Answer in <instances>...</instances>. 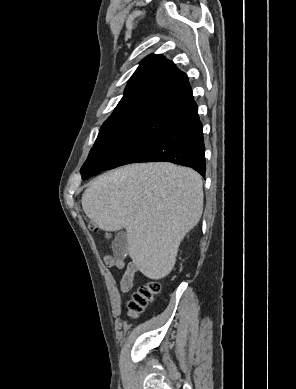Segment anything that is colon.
Returning <instances> with one entry per match:
<instances>
[{
	"mask_svg": "<svg viewBox=\"0 0 296 389\" xmlns=\"http://www.w3.org/2000/svg\"><path fill=\"white\" fill-rule=\"evenodd\" d=\"M161 286L157 281H150L141 285L132 294L128 303L129 315L135 318L138 314L144 311V309L155 299L160 292Z\"/></svg>",
	"mask_w": 296,
	"mask_h": 389,
	"instance_id": "1",
	"label": "colon"
}]
</instances>
